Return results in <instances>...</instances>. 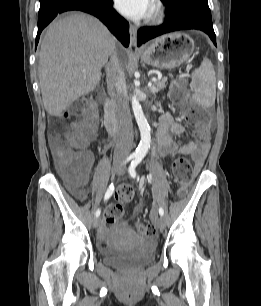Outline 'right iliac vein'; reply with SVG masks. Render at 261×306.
<instances>
[{
    "mask_svg": "<svg viewBox=\"0 0 261 306\" xmlns=\"http://www.w3.org/2000/svg\"><path fill=\"white\" fill-rule=\"evenodd\" d=\"M116 169V166H114V170ZM100 224V218L99 217H95L94 220H93V226L95 228H97Z\"/></svg>",
    "mask_w": 261,
    "mask_h": 306,
    "instance_id": "right-iliac-vein-1",
    "label": "right iliac vein"
}]
</instances>
